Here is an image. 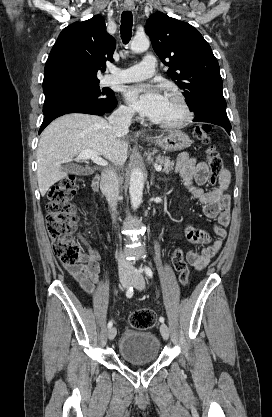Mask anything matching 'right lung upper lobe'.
<instances>
[{
  "label": "right lung upper lobe",
  "instance_id": "right-lung-upper-lobe-1",
  "mask_svg": "<svg viewBox=\"0 0 272 417\" xmlns=\"http://www.w3.org/2000/svg\"><path fill=\"white\" fill-rule=\"evenodd\" d=\"M115 46V39L106 32L101 16L67 26L47 59L43 91L98 83L96 74L106 66V61L113 62Z\"/></svg>",
  "mask_w": 272,
  "mask_h": 417
}]
</instances>
